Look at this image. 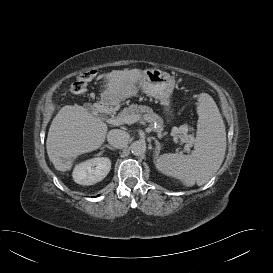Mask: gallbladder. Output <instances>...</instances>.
<instances>
[{"mask_svg": "<svg viewBox=\"0 0 273 273\" xmlns=\"http://www.w3.org/2000/svg\"><path fill=\"white\" fill-rule=\"evenodd\" d=\"M84 108H85L87 111H89L90 113H93V112H94V109H93V107H92L91 104H85V105H84Z\"/></svg>", "mask_w": 273, "mask_h": 273, "instance_id": "bac80fb5", "label": "gallbladder"}]
</instances>
